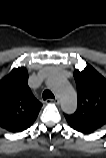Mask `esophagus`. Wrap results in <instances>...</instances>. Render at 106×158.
Listing matches in <instances>:
<instances>
[{"label":"esophagus","instance_id":"esophagus-1","mask_svg":"<svg viewBox=\"0 0 106 158\" xmlns=\"http://www.w3.org/2000/svg\"><path fill=\"white\" fill-rule=\"evenodd\" d=\"M47 101H48L49 103L59 104V101H58V98H57V97H55L54 99L49 98V99H47Z\"/></svg>","mask_w":106,"mask_h":158}]
</instances>
